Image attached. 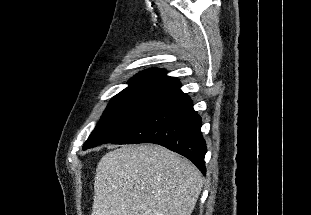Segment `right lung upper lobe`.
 Here are the masks:
<instances>
[{
	"label": "right lung upper lobe",
	"mask_w": 311,
	"mask_h": 215,
	"mask_svg": "<svg viewBox=\"0 0 311 215\" xmlns=\"http://www.w3.org/2000/svg\"><path fill=\"white\" fill-rule=\"evenodd\" d=\"M166 74V70L157 68H150L148 70L141 71L130 79L128 82L129 87L153 85L171 86L175 82L179 81L177 78L167 76Z\"/></svg>",
	"instance_id": "right-lung-upper-lobe-1"
}]
</instances>
